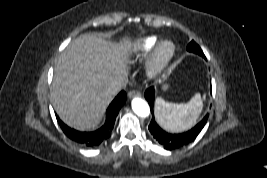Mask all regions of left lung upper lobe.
Segmentation results:
<instances>
[{
  "label": "left lung upper lobe",
  "mask_w": 267,
  "mask_h": 178,
  "mask_svg": "<svg viewBox=\"0 0 267 178\" xmlns=\"http://www.w3.org/2000/svg\"><path fill=\"white\" fill-rule=\"evenodd\" d=\"M187 50L189 52H194V53H197L199 55H201L202 57H205L203 51L201 50V48L194 42H190L187 46Z\"/></svg>",
  "instance_id": "5c2ea615"
}]
</instances>
